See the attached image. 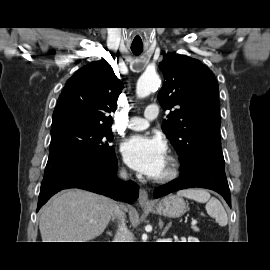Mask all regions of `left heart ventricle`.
Masks as SVG:
<instances>
[{
  "label": "left heart ventricle",
  "mask_w": 270,
  "mask_h": 270,
  "mask_svg": "<svg viewBox=\"0 0 270 270\" xmlns=\"http://www.w3.org/2000/svg\"><path fill=\"white\" fill-rule=\"evenodd\" d=\"M167 167H168V163L166 162V165H165V167H164L163 171L160 173V175H159V176L163 175V174L166 172Z\"/></svg>",
  "instance_id": "obj_1"
}]
</instances>
